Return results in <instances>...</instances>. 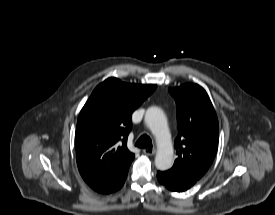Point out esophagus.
Segmentation results:
<instances>
[{"mask_svg": "<svg viewBox=\"0 0 275 215\" xmlns=\"http://www.w3.org/2000/svg\"><path fill=\"white\" fill-rule=\"evenodd\" d=\"M143 153L147 156H152L156 153L155 149H143Z\"/></svg>", "mask_w": 275, "mask_h": 215, "instance_id": "obj_1", "label": "esophagus"}]
</instances>
